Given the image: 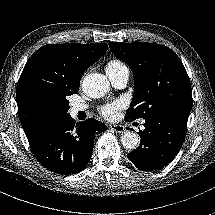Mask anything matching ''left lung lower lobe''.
<instances>
[{"label":"left lung lower lobe","mask_w":215,"mask_h":215,"mask_svg":"<svg viewBox=\"0 0 215 215\" xmlns=\"http://www.w3.org/2000/svg\"><path fill=\"white\" fill-rule=\"evenodd\" d=\"M188 116L187 113H173L145 119V129L138 133L140 146L128 153L129 160L143 171H154L168 165L184 142Z\"/></svg>","instance_id":"obj_1"}]
</instances>
